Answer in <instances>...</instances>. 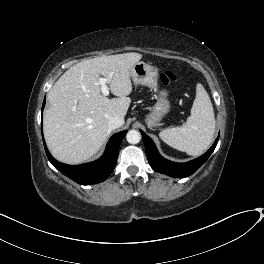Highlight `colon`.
Listing matches in <instances>:
<instances>
[{
    "label": "colon",
    "mask_w": 264,
    "mask_h": 264,
    "mask_svg": "<svg viewBox=\"0 0 264 264\" xmlns=\"http://www.w3.org/2000/svg\"><path fill=\"white\" fill-rule=\"evenodd\" d=\"M161 81L166 85H172L176 82L177 78L171 71H165L160 75Z\"/></svg>",
    "instance_id": "1"
}]
</instances>
